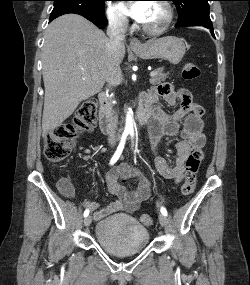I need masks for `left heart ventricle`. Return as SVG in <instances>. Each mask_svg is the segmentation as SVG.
<instances>
[{"label":"left heart ventricle","mask_w":250,"mask_h":285,"mask_svg":"<svg viewBox=\"0 0 250 285\" xmlns=\"http://www.w3.org/2000/svg\"><path fill=\"white\" fill-rule=\"evenodd\" d=\"M165 19L164 9L157 3H153L150 7L148 16L143 23L145 26L154 28L160 26Z\"/></svg>","instance_id":"b2bd125f"}]
</instances>
